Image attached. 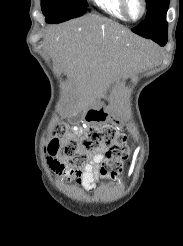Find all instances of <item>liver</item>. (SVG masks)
<instances>
[{
    "label": "liver",
    "instance_id": "1",
    "mask_svg": "<svg viewBox=\"0 0 183 246\" xmlns=\"http://www.w3.org/2000/svg\"><path fill=\"white\" fill-rule=\"evenodd\" d=\"M45 43L84 108L91 99L101 98L113 80L139 68L151 50V43L96 15L54 27Z\"/></svg>",
    "mask_w": 183,
    "mask_h": 246
}]
</instances>
